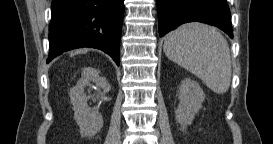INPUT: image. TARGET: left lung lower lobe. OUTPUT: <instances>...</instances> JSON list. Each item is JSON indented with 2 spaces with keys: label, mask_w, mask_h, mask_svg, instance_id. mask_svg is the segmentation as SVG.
I'll list each match as a JSON object with an SVG mask.
<instances>
[{
  "label": "left lung lower lobe",
  "mask_w": 273,
  "mask_h": 144,
  "mask_svg": "<svg viewBox=\"0 0 273 144\" xmlns=\"http://www.w3.org/2000/svg\"><path fill=\"white\" fill-rule=\"evenodd\" d=\"M159 35L187 22L217 26L233 38L231 13L226 0H157Z\"/></svg>",
  "instance_id": "obj_1"
}]
</instances>
